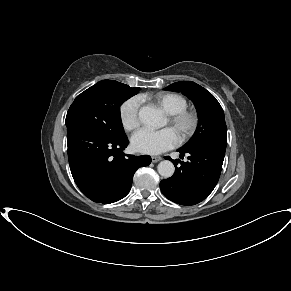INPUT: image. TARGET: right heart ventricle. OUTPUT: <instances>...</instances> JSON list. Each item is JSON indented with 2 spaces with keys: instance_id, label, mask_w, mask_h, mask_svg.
Here are the masks:
<instances>
[{
  "instance_id": "e07e8e85",
  "label": "right heart ventricle",
  "mask_w": 291,
  "mask_h": 291,
  "mask_svg": "<svg viewBox=\"0 0 291 291\" xmlns=\"http://www.w3.org/2000/svg\"><path fill=\"white\" fill-rule=\"evenodd\" d=\"M142 100L151 99L167 114H173L187 108V100L175 92H158L152 95H141Z\"/></svg>"
}]
</instances>
